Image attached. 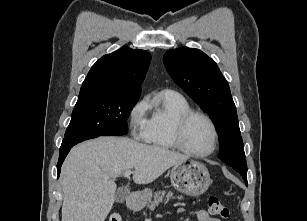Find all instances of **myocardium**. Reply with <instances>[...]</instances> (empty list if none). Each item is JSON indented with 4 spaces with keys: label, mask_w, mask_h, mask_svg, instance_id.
<instances>
[{
    "label": "myocardium",
    "mask_w": 307,
    "mask_h": 221,
    "mask_svg": "<svg viewBox=\"0 0 307 221\" xmlns=\"http://www.w3.org/2000/svg\"><path fill=\"white\" fill-rule=\"evenodd\" d=\"M194 117H202L203 119H205L207 123L210 125L212 130L213 134L212 147L210 148L209 151L205 153L193 152L184 143V134L186 127L188 123L191 121V119H193ZM173 141L176 148H178L181 152L187 154L188 156L195 158H205L212 155L216 151L219 142V133L215 122L208 114L199 110H189L178 117L174 127Z\"/></svg>",
    "instance_id": "myocardium-1"
}]
</instances>
